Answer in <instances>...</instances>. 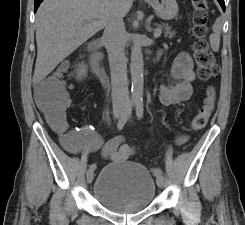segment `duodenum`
Returning a JSON list of instances; mask_svg holds the SVG:
<instances>
[{
    "label": "duodenum",
    "instance_id": "obj_1",
    "mask_svg": "<svg viewBox=\"0 0 245 225\" xmlns=\"http://www.w3.org/2000/svg\"><path fill=\"white\" fill-rule=\"evenodd\" d=\"M89 56H90V69L91 72L96 75H103L102 70L100 68V62L102 59V54L99 51V47L97 43H91L88 46Z\"/></svg>",
    "mask_w": 245,
    "mask_h": 225
}]
</instances>
